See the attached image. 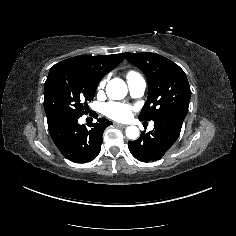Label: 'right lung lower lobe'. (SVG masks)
Instances as JSON below:
<instances>
[{
	"instance_id": "98d812e1",
	"label": "right lung lower lobe",
	"mask_w": 236,
	"mask_h": 236,
	"mask_svg": "<svg viewBox=\"0 0 236 236\" xmlns=\"http://www.w3.org/2000/svg\"><path fill=\"white\" fill-rule=\"evenodd\" d=\"M95 117L97 115L94 113ZM80 117L58 119L48 124L51 138L59 151L68 160L76 163H86L95 159L102 144L104 129L112 122L105 118L91 123L90 128L80 125Z\"/></svg>"
}]
</instances>
